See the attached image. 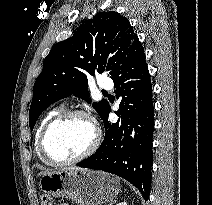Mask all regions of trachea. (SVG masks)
Listing matches in <instances>:
<instances>
[{
    "label": "trachea",
    "instance_id": "3493384b",
    "mask_svg": "<svg viewBox=\"0 0 212 205\" xmlns=\"http://www.w3.org/2000/svg\"><path fill=\"white\" fill-rule=\"evenodd\" d=\"M103 93H107L106 91H102Z\"/></svg>",
    "mask_w": 212,
    "mask_h": 205
}]
</instances>
